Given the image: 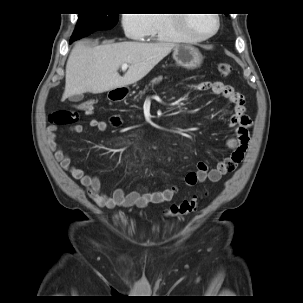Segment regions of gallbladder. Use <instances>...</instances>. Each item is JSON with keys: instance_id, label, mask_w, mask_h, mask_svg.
<instances>
[{"instance_id": "obj_1", "label": "gallbladder", "mask_w": 303, "mask_h": 303, "mask_svg": "<svg viewBox=\"0 0 303 303\" xmlns=\"http://www.w3.org/2000/svg\"><path fill=\"white\" fill-rule=\"evenodd\" d=\"M69 99H70V101L78 102L82 99V96L81 95H73Z\"/></svg>"}]
</instances>
